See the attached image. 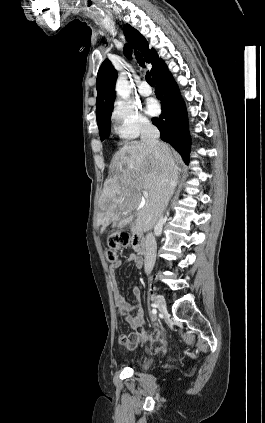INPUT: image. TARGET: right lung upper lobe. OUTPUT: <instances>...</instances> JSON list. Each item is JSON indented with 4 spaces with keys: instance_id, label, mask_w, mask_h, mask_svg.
<instances>
[{
    "instance_id": "1",
    "label": "right lung upper lobe",
    "mask_w": 265,
    "mask_h": 423,
    "mask_svg": "<svg viewBox=\"0 0 265 423\" xmlns=\"http://www.w3.org/2000/svg\"><path fill=\"white\" fill-rule=\"evenodd\" d=\"M123 32L130 44L136 47L144 56L147 63L153 65L151 69V75L164 65V62L158 58V55L154 49L149 50L146 39L129 24L123 26ZM124 54L126 57H131V48L129 45H125ZM117 79V71L112 66L111 62L106 59L99 68L97 74V100H96V115L97 123H101L102 120L112 112L113 103L115 99L114 87Z\"/></svg>"
}]
</instances>
